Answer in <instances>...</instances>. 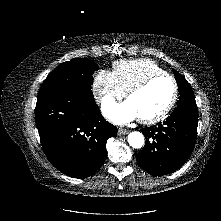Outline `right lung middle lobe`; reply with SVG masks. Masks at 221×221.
I'll list each match as a JSON object with an SVG mask.
<instances>
[{
	"mask_svg": "<svg viewBox=\"0 0 221 221\" xmlns=\"http://www.w3.org/2000/svg\"><path fill=\"white\" fill-rule=\"evenodd\" d=\"M98 70L97 64L86 59H72L60 64L45 79L38 97L73 90L80 87H90L93 73Z\"/></svg>",
	"mask_w": 221,
	"mask_h": 221,
	"instance_id": "right-lung-middle-lobe-1",
	"label": "right lung middle lobe"
}]
</instances>
